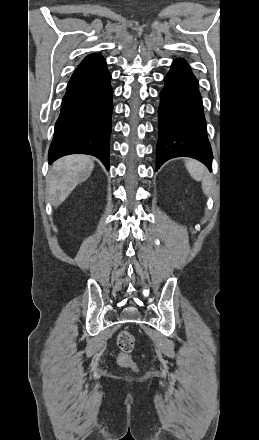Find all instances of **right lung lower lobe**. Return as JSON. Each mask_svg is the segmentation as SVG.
I'll return each instance as SVG.
<instances>
[{
	"instance_id": "98d812e1",
	"label": "right lung lower lobe",
	"mask_w": 259,
	"mask_h": 440,
	"mask_svg": "<svg viewBox=\"0 0 259 440\" xmlns=\"http://www.w3.org/2000/svg\"><path fill=\"white\" fill-rule=\"evenodd\" d=\"M101 55L87 56L71 76L55 124L48 162L69 154H89L109 170L113 90Z\"/></svg>"
}]
</instances>
